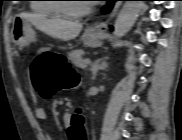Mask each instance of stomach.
I'll return each instance as SVG.
<instances>
[{
  "label": "stomach",
  "mask_w": 182,
  "mask_h": 140,
  "mask_svg": "<svg viewBox=\"0 0 182 140\" xmlns=\"http://www.w3.org/2000/svg\"><path fill=\"white\" fill-rule=\"evenodd\" d=\"M11 34L13 41L20 47L29 45L36 37L32 24L20 15L14 18ZM82 40L86 46L98 47L102 44L103 36L88 28L82 35Z\"/></svg>",
  "instance_id": "obj_1"
}]
</instances>
